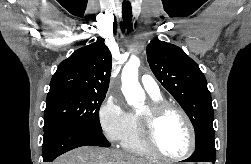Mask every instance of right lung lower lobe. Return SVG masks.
<instances>
[{"label":"right lung lower lobe","instance_id":"1","mask_svg":"<svg viewBox=\"0 0 251 164\" xmlns=\"http://www.w3.org/2000/svg\"><path fill=\"white\" fill-rule=\"evenodd\" d=\"M87 145L110 146L101 130L67 124L50 125L44 128L43 162H52L65 152Z\"/></svg>","mask_w":251,"mask_h":164}]
</instances>
